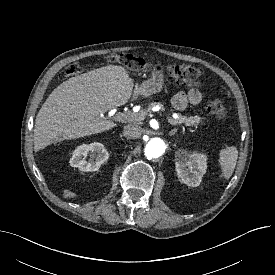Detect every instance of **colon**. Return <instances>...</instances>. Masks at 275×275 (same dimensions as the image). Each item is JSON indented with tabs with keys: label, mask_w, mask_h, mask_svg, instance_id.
<instances>
[{
	"label": "colon",
	"mask_w": 275,
	"mask_h": 275,
	"mask_svg": "<svg viewBox=\"0 0 275 275\" xmlns=\"http://www.w3.org/2000/svg\"><path fill=\"white\" fill-rule=\"evenodd\" d=\"M108 61L120 63L129 69L146 70L149 66L141 59L131 54L114 53L108 56ZM81 68L78 64H72L61 74L62 79H67L78 75ZM168 75L178 84H190L198 80L202 75V70L190 65H171L167 68ZM207 111L218 119L226 116V107L219 99H212L207 103Z\"/></svg>",
	"instance_id": "1"
}]
</instances>
